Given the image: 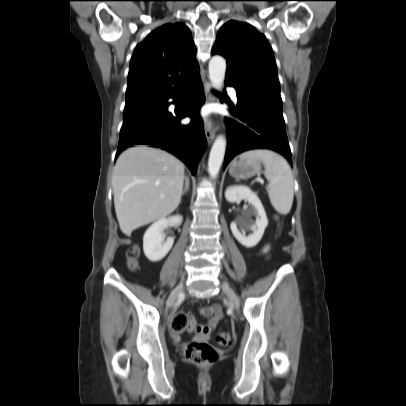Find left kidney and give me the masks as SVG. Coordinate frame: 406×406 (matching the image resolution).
<instances>
[{"label": "left kidney", "instance_id": "obj_1", "mask_svg": "<svg viewBox=\"0 0 406 406\" xmlns=\"http://www.w3.org/2000/svg\"><path fill=\"white\" fill-rule=\"evenodd\" d=\"M225 198L230 203L240 202L241 200H247L249 204L253 206V210L250 213L255 216V221L247 219L245 222H242V225L251 230L253 233L246 236L242 234L238 228L236 222H232L230 225L231 231L234 237L239 243L247 248H252L256 246L261 240L264 230L268 225V219L263 208V205L258 198V196L252 192L246 186H230L225 191Z\"/></svg>", "mask_w": 406, "mask_h": 406}]
</instances>
